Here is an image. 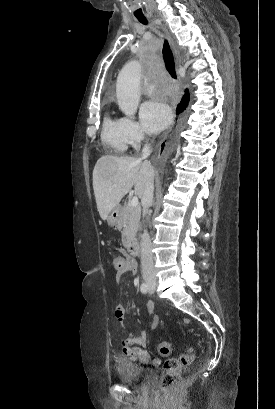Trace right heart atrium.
Here are the masks:
<instances>
[{"instance_id":"d8ad5b80","label":"right heart atrium","mask_w":275,"mask_h":409,"mask_svg":"<svg viewBox=\"0 0 275 409\" xmlns=\"http://www.w3.org/2000/svg\"><path fill=\"white\" fill-rule=\"evenodd\" d=\"M122 123L128 144L133 148H137L147 140L149 132L142 122L130 118H124L122 119Z\"/></svg>"}]
</instances>
